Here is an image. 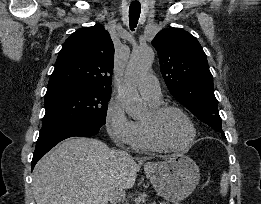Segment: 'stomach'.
<instances>
[{"label":"stomach","mask_w":261,"mask_h":204,"mask_svg":"<svg viewBox=\"0 0 261 204\" xmlns=\"http://www.w3.org/2000/svg\"><path fill=\"white\" fill-rule=\"evenodd\" d=\"M144 170L158 195L175 204L192 193L200 178L198 166L184 154H176L161 162L146 163Z\"/></svg>","instance_id":"0dacf381"}]
</instances>
